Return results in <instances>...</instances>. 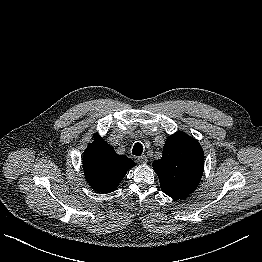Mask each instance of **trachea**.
<instances>
[{
  "instance_id": "1",
  "label": "trachea",
  "mask_w": 262,
  "mask_h": 262,
  "mask_svg": "<svg viewBox=\"0 0 262 262\" xmlns=\"http://www.w3.org/2000/svg\"><path fill=\"white\" fill-rule=\"evenodd\" d=\"M143 152V146L141 143H136L133 146L132 153L133 155L140 156Z\"/></svg>"
}]
</instances>
